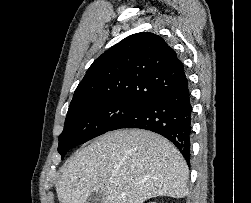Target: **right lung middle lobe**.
I'll use <instances>...</instances> for the list:
<instances>
[{"label":"right lung middle lobe","mask_w":251,"mask_h":203,"mask_svg":"<svg viewBox=\"0 0 251 203\" xmlns=\"http://www.w3.org/2000/svg\"><path fill=\"white\" fill-rule=\"evenodd\" d=\"M142 106L141 103L127 101H92L70 105L64 130L59 136L58 152L62 159L69 149L111 131L117 123Z\"/></svg>","instance_id":"obj_1"}]
</instances>
